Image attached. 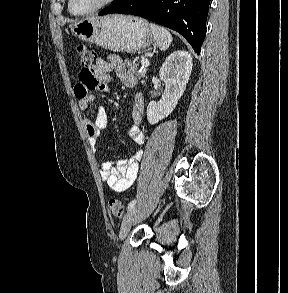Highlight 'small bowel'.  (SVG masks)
<instances>
[{
	"instance_id": "c3829d8e",
	"label": "small bowel",
	"mask_w": 288,
	"mask_h": 293,
	"mask_svg": "<svg viewBox=\"0 0 288 293\" xmlns=\"http://www.w3.org/2000/svg\"><path fill=\"white\" fill-rule=\"evenodd\" d=\"M114 72L118 78L128 87L137 86V78L125 66L122 59L117 55H110L106 59H98L96 65L90 70L82 69L78 74V83L74 93L79 99V107L86 112L95 101L92 91L110 92L109 84L112 81L111 73ZM144 99L141 93H137L132 110L133 125L130 129V137L137 145L145 143V135L140 129L143 116ZM107 114L103 107L96 108L93 118L84 117V127L93 147L97 146L101 132L107 127ZM143 156L142 150H137L130 157L116 161H105L101 165L100 175L109 188L116 192L126 191L135 181L138 173L139 162Z\"/></svg>"
}]
</instances>
